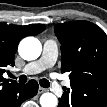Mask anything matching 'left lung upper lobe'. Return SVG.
I'll use <instances>...</instances> for the list:
<instances>
[{"mask_svg": "<svg viewBox=\"0 0 107 107\" xmlns=\"http://www.w3.org/2000/svg\"><path fill=\"white\" fill-rule=\"evenodd\" d=\"M61 43V72L69 73L71 84L107 98V36L88 21L55 25Z\"/></svg>", "mask_w": 107, "mask_h": 107, "instance_id": "left-lung-upper-lobe-1", "label": "left lung upper lobe"}]
</instances>
